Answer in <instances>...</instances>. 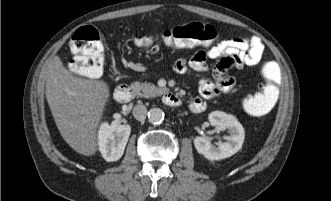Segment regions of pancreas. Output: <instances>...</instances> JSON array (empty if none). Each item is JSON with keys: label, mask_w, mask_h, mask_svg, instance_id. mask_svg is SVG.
<instances>
[{"label": "pancreas", "mask_w": 331, "mask_h": 201, "mask_svg": "<svg viewBox=\"0 0 331 201\" xmlns=\"http://www.w3.org/2000/svg\"><path fill=\"white\" fill-rule=\"evenodd\" d=\"M131 88L135 91L137 95L143 96L145 98L156 97L164 92V89L156 87L154 84L151 83L134 82L131 84Z\"/></svg>", "instance_id": "obj_1"}]
</instances>
